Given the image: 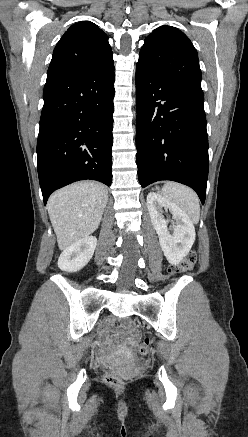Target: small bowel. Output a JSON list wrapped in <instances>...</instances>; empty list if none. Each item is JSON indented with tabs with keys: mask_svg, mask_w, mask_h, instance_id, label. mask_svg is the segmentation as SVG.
Instances as JSON below:
<instances>
[{
	"mask_svg": "<svg viewBox=\"0 0 248 437\" xmlns=\"http://www.w3.org/2000/svg\"><path fill=\"white\" fill-rule=\"evenodd\" d=\"M120 334L123 336L124 341L119 345L120 349H125L127 346H131L135 343V335L130 330L129 324H124L120 328Z\"/></svg>",
	"mask_w": 248,
	"mask_h": 437,
	"instance_id": "1",
	"label": "small bowel"
}]
</instances>
